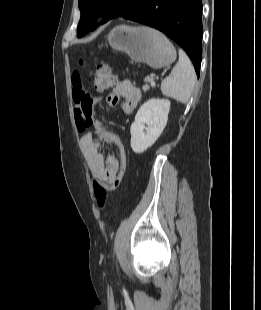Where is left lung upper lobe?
I'll return each instance as SVG.
<instances>
[{"instance_id":"1","label":"left lung upper lobe","mask_w":261,"mask_h":310,"mask_svg":"<svg viewBox=\"0 0 261 310\" xmlns=\"http://www.w3.org/2000/svg\"><path fill=\"white\" fill-rule=\"evenodd\" d=\"M134 0H79L81 18L78 24V37L97 26L99 16H103V22L116 17H122L128 13Z\"/></svg>"}]
</instances>
